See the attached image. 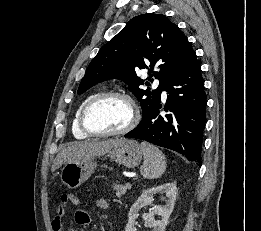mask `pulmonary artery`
<instances>
[{
	"label": "pulmonary artery",
	"mask_w": 261,
	"mask_h": 231,
	"mask_svg": "<svg viewBox=\"0 0 261 231\" xmlns=\"http://www.w3.org/2000/svg\"><path fill=\"white\" fill-rule=\"evenodd\" d=\"M158 85H159V82L158 81H154V86H158ZM162 95H163V98L167 97V93L165 91H163Z\"/></svg>",
	"instance_id": "1"
}]
</instances>
